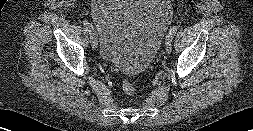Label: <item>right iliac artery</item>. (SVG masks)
Listing matches in <instances>:
<instances>
[{
  "instance_id": "82829eb1",
  "label": "right iliac artery",
  "mask_w": 253,
  "mask_h": 131,
  "mask_svg": "<svg viewBox=\"0 0 253 131\" xmlns=\"http://www.w3.org/2000/svg\"><path fill=\"white\" fill-rule=\"evenodd\" d=\"M83 25L85 26L86 30L89 32L91 31V29H93L91 23L88 20H84Z\"/></svg>"
}]
</instances>
